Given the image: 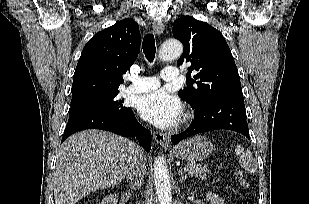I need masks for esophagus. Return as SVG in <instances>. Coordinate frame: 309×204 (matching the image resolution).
Returning a JSON list of instances; mask_svg holds the SVG:
<instances>
[{"mask_svg": "<svg viewBox=\"0 0 309 204\" xmlns=\"http://www.w3.org/2000/svg\"><path fill=\"white\" fill-rule=\"evenodd\" d=\"M153 32L160 36L164 31V24L161 21H155L153 23ZM153 138L157 144H159L162 147H168L169 145V136L166 134H163L161 132H154Z\"/></svg>", "mask_w": 309, "mask_h": 204, "instance_id": "obj_1", "label": "esophagus"}]
</instances>
